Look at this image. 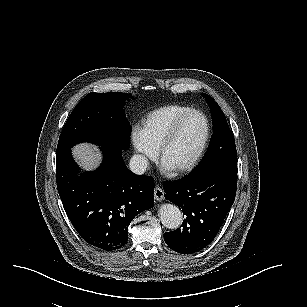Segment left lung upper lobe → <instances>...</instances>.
<instances>
[{"label": "left lung upper lobe", "mask_w": 307, "mask_h": 307, "mask_svg": "<svg viewBox=\"0 0 307 307\" xmlns=\"http://www.w3.org/2000/svg\"><path fill=\"white\" fill-rule=\"evenodd\" d=\"M205 99L211 108L213 135L208 150L191 173L211 168L225 169L237 173V151L234 137L219 105L208 95Z\"/></svg>", "instance_id": "left-lung-upper-lobe-1"}]
</instances>
